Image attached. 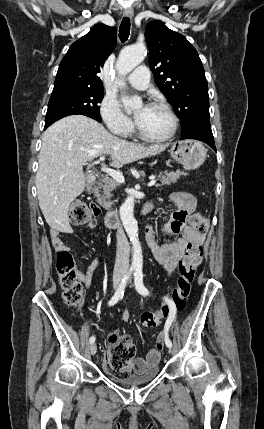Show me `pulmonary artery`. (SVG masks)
<instances>
[{
    "label": "pulmonary artery",
    "mask_w": 264,
    "mask_h": 429,
    "mask_svg": "<svg viewBox=\"0 0 264 429\" xmlns=\"http://www.w3.org/2000/svg\"><path fill=\"white\" fill-rule=\"evenodd\" d=\"M150 73L146 66L137 67L127 77V82L134 88L144 90L149 86Z\"/></svg>",
    "instance_id": "e3ab8cb5"
}]
</instances>
